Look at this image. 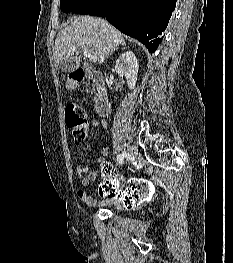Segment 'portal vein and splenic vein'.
Returning <instances> with one entry per match:
<instances>
[{
	"instance_id": "1",
	"label": "portal vein and splenic vein",
	"mask_w": 233,
	"mask_h": 263,
	"mask_svg": "<svg viewBox=\"0 0 233 263\" xmlns=\"http://www.w3.org/2000/svg\"><path fill=\"white\" fill-rule=\"evenodd\" d=\"M82 48H83L84 55H85L86 58H88L90 61H93V62L97 61V57L94 56V55H92L91 53H89V51H88V49L85 47V45H83ZM75 50H76V48H75V47H72L70 51H71V53H74Z\"/></svg>"
}]
</instances>
